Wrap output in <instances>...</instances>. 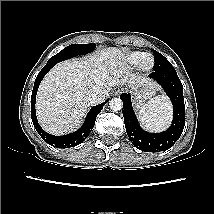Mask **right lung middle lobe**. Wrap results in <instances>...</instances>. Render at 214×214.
Segmentation results:
<instances>
[{
  "instance_id": "right-lung-middle-lobe-1",
  "label": "right lung middle lobe",
  "mask_w": 214,
  "mask_h": 214,
  "mask_svg": "<svg viewBox=\"0 0 214 214\" xmlns=\"http://www.w3.org/2000/svg\"><path fill=\"white\" fill-rule=\"evenodd\" d=\"M96 44H72L64 48L62 51L51 57L48 63L57 64L63 60L69 59L77 55H84L94 50Z\"/></svg>"
}]
</instances>
